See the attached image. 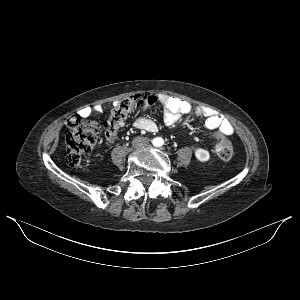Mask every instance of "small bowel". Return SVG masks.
Here are the masks:
<instances>
[{
	"mask_svg": "<svg viewBox=\"0 0 300 300\" xmlns=\"http://www.w3.org/2000/svg\"><path fill=\"white\" fill-rule=\"evenodd\" d=\"M159 101L164 105V123L167 126L174 125L183 114H194L198 117L205 118V127L208 130H217L219 137L230 136L234 133L232 124L217 113L215 110L201 105H195L179 97L170 95H161ZM104 108L101 105L86 107L81 110V116H91L93 114H102ZM136 128L147 132L157 131L156 123L146 117H137L134 121Z\"/></svg>",
	"mask_w": 300,
	"mask_h": 300,
	"instance_id": "obj_1",
	"label": "small bowel"
}]
</instances>
